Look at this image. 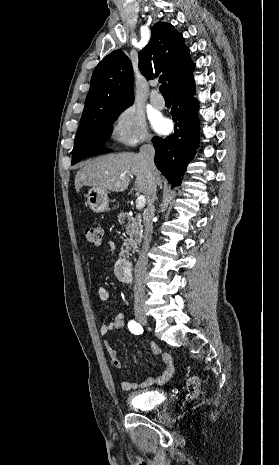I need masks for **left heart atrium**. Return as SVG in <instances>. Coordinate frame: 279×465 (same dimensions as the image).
<instances>
[{"label":"left heart atrium","mask_w":279,"mask_h":465,"mask_svg":"<svg viewBox=\"0 0 279 465\" xmlns=\"http://www.w3.org/2000/svg\"><path fill=\"white\" fill-rule=\"evenodd\" d=\"M155 128L160 133H165L169 129V122L164 118H158L155 120Z\"/></svg>","instance_id":"obj_1"}]
</instances>
